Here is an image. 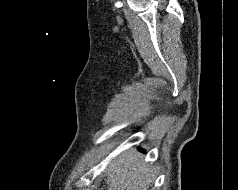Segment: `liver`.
Masks as SVG:
<instances>
[{"label": "liver", "mask_w": 238, "mask_h": 190, "mask_svg": "<svg viewBox=\"0 0 238 190\" xmlns=\"http://www.w3.org/2000/svg\"><path fill=\"white\" fill-rule=\"evenodd\" d=\"M143 156L130 149L108 166L107 190H148L154 180Z\"/></svg>", "instance_id": "6515ba94"}]
</instances>
